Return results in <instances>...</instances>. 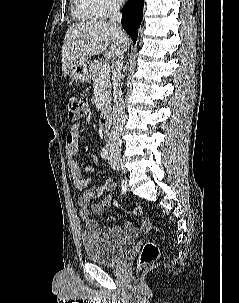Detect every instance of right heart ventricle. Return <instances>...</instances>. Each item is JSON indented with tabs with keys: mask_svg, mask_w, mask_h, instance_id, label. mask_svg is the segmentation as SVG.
<instances>
[{
	"mask_svg": "<svg viewBox=\"0 0 239 303\" xmlns=\"http://www.w3.org/2000/svg\"><path fill=\"white\" fill-rule=\"evenodd\" d=\"M74 15L82 20H93L96 19L90 11V7L86 0H74Z\"/></svg>",
	"mask_w": 239,
	"mask_h": 303,
	"instance_id": "e07e8e85",
	"label": "right heart ventricle"
}]
</instances>
